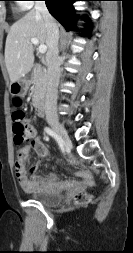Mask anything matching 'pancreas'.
Returning a JSON list of instances; mask_svg holds the SVG:
<instances>
[{
	"label": "pancreas",
	"instance_id": "obj_1",
	"mask_svg": "<svg viewBox=\"0 0 133 253\" xmlns=\"http://www.w3.org/2000/svg\"><path fill=\"white\" fill-rule=\"evenodd\" d=\"M32 101L37 103L40 98L44 95L46 84H47V74L46 70L41 67H36L32 72Z\"/></svg>",
	"mask_w": 133,
	"mask_h": 253
}]
</instances>
